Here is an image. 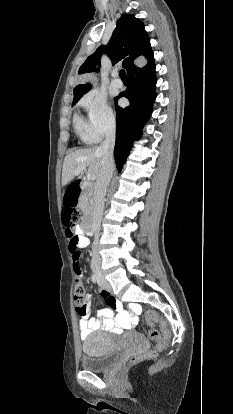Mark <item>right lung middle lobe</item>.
I'll return each instance as SVG.
<instances>
[{"label":"right lung middle lobe","mask_w":233,"mask_h":414,"mask_svg":"<svg viewBox=\"0 0 233 414\" xmlns=\"http://www.w3.org/2000/svg\"><path fill=\"white\" fill-rule=\"evenodd\" d=\"M78 102V100L77 101H73V105L75 104V103H77Z\"/></svg>","instance_id":"right-lung-middle-lobe-1"}]
</instances>
